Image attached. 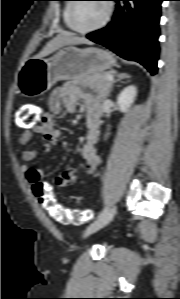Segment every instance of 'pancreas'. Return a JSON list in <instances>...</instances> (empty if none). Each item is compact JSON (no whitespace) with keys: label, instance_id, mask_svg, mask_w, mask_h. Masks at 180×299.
Wrapping results in <instances>:
<instances>
[{"label":"pancreas","instance_id":"pancreas-1","mask_svg":"<svg viewBox=\"0 0 180 299\" xmlns=\"http://www.w3.org/2000/svg\"><path fill=\"white\" fill-rule=\"evenodd\" d=\"M111 74L110 72L102 73H91L83 77L84 83L97 91L103 98H105L112 86L111 81L107 80V75Z\"/></svg>","mask_w":180,"mask_h":299}]
</instances>
